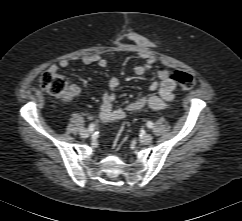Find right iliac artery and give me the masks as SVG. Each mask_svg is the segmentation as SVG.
Returning a JSON list of instances; mask_svg holds the SVG:
<instances>
[{"mask_svg":"<svg viewBox=\"0 0 242 221\" xmlns=\"http://www.w3.org/2000/svg\"><path fill=\"white\" fill-rule=\"evenodd\" d=\"M89 131H93L95 129V124L91 123L88 127Z\"/></svg>","mask_w":242,"mask_h":221,"instance_id":"82829eb1","label":"right iliac artery"}]
</instances>
